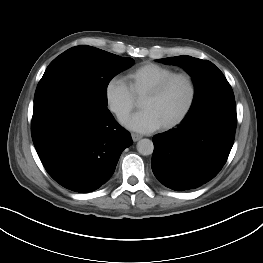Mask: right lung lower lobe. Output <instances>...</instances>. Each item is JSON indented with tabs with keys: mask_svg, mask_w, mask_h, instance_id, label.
<instances>
[{
	"mask_svg": "<svg viewBox=\"0 0 263 263\" xmlns=\"http://www.w3.org/2000/svg\"><path fill=\"white\" fill-rule=\"evenodd\" d=\"M31 134L49 175L63 187L94 191L113 175L133 141L109 110L63 97L34 106Z\"/></svg>",
	"mask_w": 263,
	"mask_h": 263,
	"instance_id": "98d812e1",
	"label": "right lung lower lobe"
}]
</instances>
